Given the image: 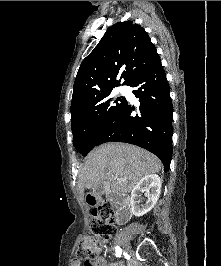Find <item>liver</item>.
I'll list each match as a JSON object with an SVG mask.
<instances>
[{"instance_id":"6515ba94","label":"liver","mask_w":221,"mask_h":266,"mask_svg":"<svg viewBox=\"0 0 221 266\" xmlns=\"http://www.w3.org/2000/svg\"><path fill=\"white\" fill-rule=\"evenodd\" d=\"M160 170L161 161L152 153L134 145L111 142L89 153L79 172L78 188L83 194L85 189L102 184L105 192L126 194L143 176Z\"/></svg>"}]
</instances>
